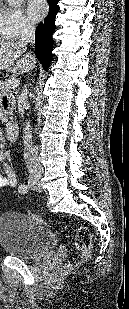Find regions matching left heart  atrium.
I'll return each instance as SVG.
<instances>
[{
    "instance_id": "obj_1",
    "label": "left heart atrium",
    "mask_w": 129,
    "mask_h": 309,
    "mask_svg": "<svg viewBox=\"0 0 129 309\" xmlns=\"http://www.w3.org/2000/svg\"><path fill=\"white\" fill-rule=\"evenodd\" d=\"M47 6L44 0H28L27 13L34 22L39 21L46 14Z\"/></svg>"
}]
</instances>
